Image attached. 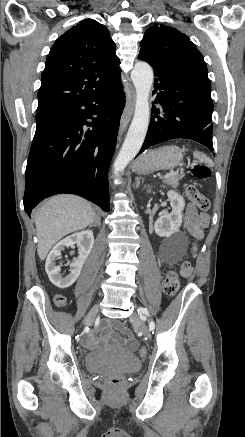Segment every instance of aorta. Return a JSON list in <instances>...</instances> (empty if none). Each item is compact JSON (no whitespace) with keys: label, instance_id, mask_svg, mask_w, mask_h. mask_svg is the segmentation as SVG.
I'll use <instances>...</instances> for the list:
<instances>
[{"label":"aorta","instance_id":"762f6f07","mask_svg":"<svg viewBox=\"0 0 245 437\" xmlns=\"http://www.w3.org/2000/svg\"><path fill=\"white\" fill-rule=\"evenodd\" d=\"M131 79L136 90L134 117L125 141L114 162V173L118 175L139 152L149 125V94L153 83V70L143 61L135 64Z\"/></svg>","mask_w":245,"mask_h":437}]
</instances>
